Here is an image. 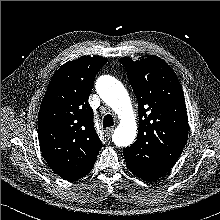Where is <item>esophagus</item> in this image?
<instances>
[{"label": "esophagus", "mask_w": 220, "mask_h": 220, "mask_svg": "<svg viewBox=\"0 0 220 220\" xmlns=\"http://www.w3.org/2000/svg\"><path fill=\"white\" fill-rule=\"evenodd\" d=\"M113 131H114V127H110L105 130L107 136H110L113 133Z\"/></svg>", "instance_id": "esophagus-1"}]
</instances>
